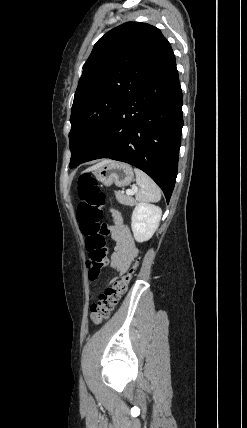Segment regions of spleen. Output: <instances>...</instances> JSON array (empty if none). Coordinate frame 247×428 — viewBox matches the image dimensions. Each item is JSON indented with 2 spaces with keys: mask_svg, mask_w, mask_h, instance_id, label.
<instances>
[{
  "mask_svg": "<svg viewBox=\"0 0 247 428\" xmlns=\"http://www.w3.org/2000/svg\"><path fill=\"white\" fill-rule=\"evenodd\" d=\"M136 183L139 190L136 200L140 202H158L161 199V191L157 184L142 170L135 168Z\"/></svg>",
  "mask_w": 247,
  "mask_h": 428,
  "instance_id": "1",
  "label": "spleen"
}]
</instances>
